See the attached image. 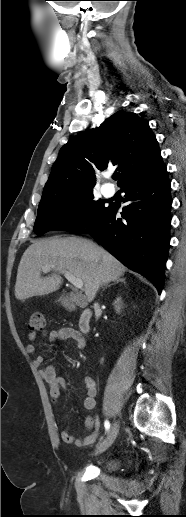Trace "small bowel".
<instances>
[{
	"label": "small bowel",
	"mask_w": 186,
	"mask_h": 517,
	"mask_svg": "<svg viewBox=\"0 0 186 517\" xmlns=\"http://www.w3.org/2000/svg\"><path fill=\"white\" fill-rule=\"evenodd\" d=\"M28 340L33 342L35 340L34 333H28ZM48 339L51 343L59 340H71L76 348L83 349L85 341L80 332L72 327H61L49 332ZM26 351L29 355L35 354V347L33 344L26 346ZM44 359L41 356L34 357V364L39 367L43 364ZM40 375L46 382L49 388V394L53 402L57 403L62 390L67 389L66 381L59 377L53 366H45L40 370ZM86 389V396L83 401V406L86 410L92 411L96 406L97 388L95 381L86 376L82 380ZM85 426L88 431L84 438H75L67 428H64L61 433V439L68 444H73L76 447H84L93 444L99 435L100 422L95 414H89L85 418Z\"/></svg>",
	"instance_id": "obj_1"
}]
</instances>
